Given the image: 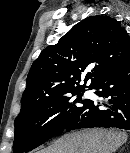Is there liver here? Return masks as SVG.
Listing matches in <instances>:
<instances>
[{
  "mask_svg": "<svg viewBox=\"0 0 130 153\" xmlns=\"http://www.w3.org/2000/svg\"><path fill=\"white\" fill-rule=\"evenodd\" d=\"M127 138L113 129H84L63 135L39 153H114Z\"/></svg>",
  "mask_w": 130,
  "mask_h": 153,
  "instance_id": "liver-1",
  "label": "liver"
}]
</instances>
